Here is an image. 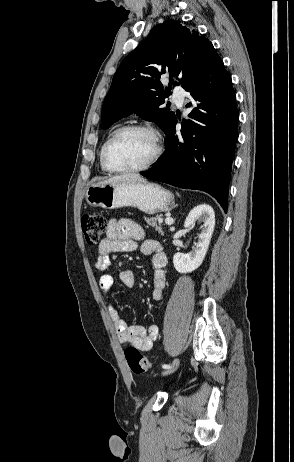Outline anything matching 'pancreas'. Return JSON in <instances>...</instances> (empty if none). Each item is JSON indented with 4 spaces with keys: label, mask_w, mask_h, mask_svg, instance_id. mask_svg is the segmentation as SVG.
<instances>
[{
    "label": "pancreas",
    "mask_w": 294,
    "mask_h": 462,
    "mask_svg": "<svg viewBox=\"0 0 294 462\" xmlns=\"http://www.w3.org/2000/svg\"><path fill=\"white\" fill-rule=\"evenodd\" d=\"M159 218H160V216H156V217H154V216H152V217H144L145 221H146L149 225L155 227L156 230H157L160 234L164 235V232H163V230H162L161 225L157 223V221L159 220Z\"/></svg>",
    "instance_id": "pancreas-1"
}]
</instances>
